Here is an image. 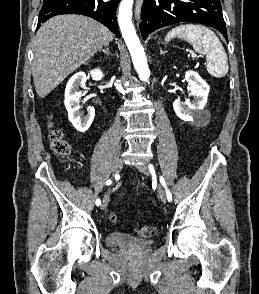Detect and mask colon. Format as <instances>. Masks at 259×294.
Here are the masks:
<instances>
[{
    "mask_svg": "<svg viewBox=\"0 0 259 294\" xmlns=\"http://www.w3.org/2000/svg\"><path fill=\"white\" fill-rule=\"evenodd\" d=\"M51 148L53 152L59 157H67L70 154V145L63 138L62 133L57 129H52L50 132ZM112 222L117 221L115 214L110 215ZM156 233V228L153 225L149 224H140L135 230L134 235L141 238H149Z\"/></svg>",
    "mask_w": 259,
    "mask_h": 294,
    "instance_id": "obj_1",
    "label": "colon"
}]
</instances>
